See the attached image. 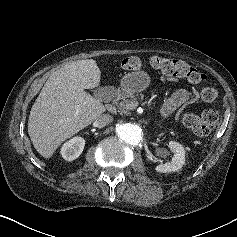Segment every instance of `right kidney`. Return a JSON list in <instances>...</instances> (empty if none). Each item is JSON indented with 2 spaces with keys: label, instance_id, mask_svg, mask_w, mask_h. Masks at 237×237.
<instances>
[{
  "label": "right kidney",
  "instance_id": "obj_1",
  "mask_svg": "<svg viewBox=\"0 0 237 237\" xmlns=\"http://www.w3.org/2000/svg\"><path fill=\"white\" fill-rule=\"evenodd\" d=\"M85 146V140L82 137H74L63 144L61 155L67 161L75 160L80 156Z\"/></svg>",
  "mask_w": 237,
  "mask_h": 237
}]
</instances>
